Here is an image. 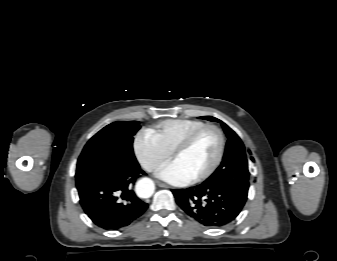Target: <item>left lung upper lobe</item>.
<instances>
[{
  "instance_id": "1",
  "label": "left lung upper lobe",
  "mask_w": 337,
  "mask_h": 261,
  "mask_svg": "<svg viewBox=\"0 0 337 261\" xmlns=\"http://www.w3.org/2000/svg\"><path fill=\"white\" fill-rule=\"evenodd\" d=\"M202 118L220 122L228 137L225 154L220 166L203 184H215L228 187L242 198L247 199L250 173L248 171L245 147L241 139L222 121L211 116Z\"/></svg>"
}]
</instances>
